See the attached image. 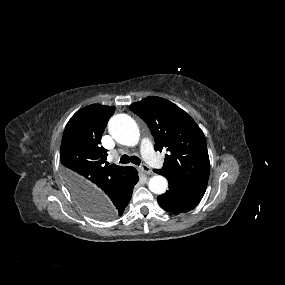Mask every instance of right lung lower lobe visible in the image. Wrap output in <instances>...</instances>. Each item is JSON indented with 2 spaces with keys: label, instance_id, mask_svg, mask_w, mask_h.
<instances>
[{
  "label": "right lung lower lobe",
  "instance_id": "obj_1",
  "mask_svg": "<svg viewBox=\"0 0 285 285\" xmlns=\"http://www.w3.org/2000/svg\"><path fill=\"white\" fill-rule=\"evenodd\" d=\"M138 180L137 171L131 168L128 175L119 183L105 189L104 194L93 196L88 205L92 207L106 206L115 215L121 216L131 199L133 188Z\"/></svg>",
  "mask_w": 285,
  "mask_h": 285
}]
</instances>
